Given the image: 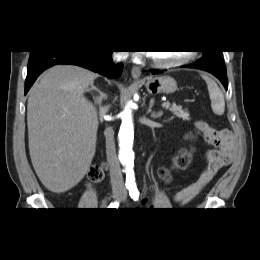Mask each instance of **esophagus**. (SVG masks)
<instances>
[{"instance_id":"34e87169","label":"esophagus","mask_w":260,"mask_h":260,"mask_svg":"<svg viewBox=\"0 0 260 260\" xmlns=\"http://www.w3.org/2000/svg\"><path fill=\"white\" fill-rule=\"evenodd\" d=\"M131 75L134 79H140L141 77V69L138 66H133L131 70Z\"/></svg>"}]
</instances>
